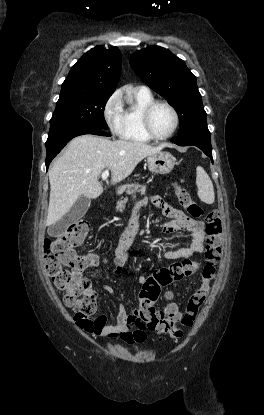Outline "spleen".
<instances>
[{
	"label": "spleen",
	"instance_id": "3e777b00",
	"mask_svg": "<svg viewBox=\"0 0 264 415\" xmlns=\"http://www.w3.org/2000/svg\"><path fill=\"white\" fill-rule=\"evenodd\" d=\"M196 185L201 201L206 204H213L215 200L213 183L201 166L196 168Z\"/></svg>",
	"mask_w": 264,
	"mask_h": 415
}]
</instances>
